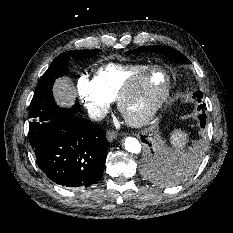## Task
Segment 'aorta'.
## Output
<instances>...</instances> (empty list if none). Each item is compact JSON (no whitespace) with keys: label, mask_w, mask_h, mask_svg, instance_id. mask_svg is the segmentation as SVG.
<instances>
[{"label":"aorta","mask_w":233,"mask_h":233,"mask_svg":"<svg viewBox=\"0 0 233 233\" xmlns=\"http://www.w3.org/2000/svg\"><path fill=\"white\" fill-rule=\"evenodd\" d=\"M125 149L134 154H138L141 151V144L140 142L133 137H127L124 141Z\"/></svg>","instance_id":"1"}]
</instances>
